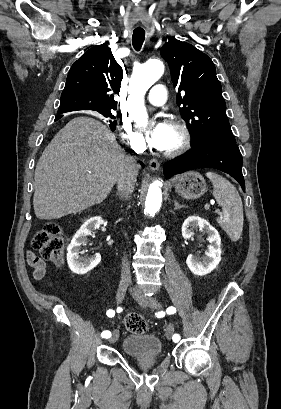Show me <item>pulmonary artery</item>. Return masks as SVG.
<instances>
[{
  "mask_svg": "<svg viewBox=\"0 0 281 409\" xmlns=\"http://www.w3.org/2000/svg\"><path fill=\"white\" fill-rule=\"evenodd\" d=\"M166 96L167 93L164 90V83L157 81L155 86L151 87V94L148 95L147 100L152 106H163Z\"/></svg>",
  "mask_w": 281,
  "mask_h": 409,
  "instance_id": "obj_1",
  "label": "pulmonary artery"
}]
</instances>
